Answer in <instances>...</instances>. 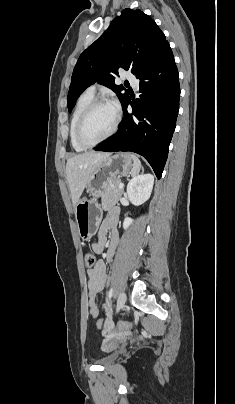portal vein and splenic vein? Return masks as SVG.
I'll use <instances>...</instances> for the list:
<instances>
[{
	"mask_svg": "<svg viewBox=\"0 0 235 404\" xmlns=\"http://www.w3.org/2000/svg\"><path fill=\"white\" fill-rule=\"evenodd\" d=\"M123 186H124L123 183H120V184H119V189H122Z\"/></svg>",
	"mask_w": 235,
	"mask_h": 404,
	"instance_id": "1",
	"label": "portal vein and splenic vein"
}]
</instances>
